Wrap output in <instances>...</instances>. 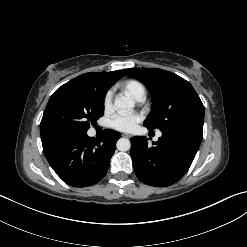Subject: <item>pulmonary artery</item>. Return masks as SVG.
Returning a JSON list of instances; mask_svg holds the SVG:
<instances>
[{
	"mask_svg": "<svg viewBox=\"0 0 247 247\" xmlns=\"http://www.w3.org/2000/svg\"><path fill=\"white\" fill-rule=\"evenodd\" d=\"M145 99V95H142V96H140V97H138V99H137V101H143ZM161 136V134H158L157 135V138H159Z\"/></svg>",
	"mask_w": 247,
	"mask_h": 247,
	"instance_id": "obj_1",
	"label": "pulmonary artery"
}]
</instances>
